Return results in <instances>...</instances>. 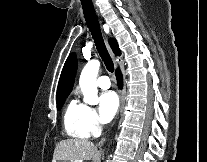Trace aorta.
Returning <instances> with one entry per match:
<instances>
[{"mask_svg": "<svg viewBox=\"0 0 207 162\" xmlns=\"http://www.w3.org/2000/svg\"><path fill=\"white\" fill-rule=\"evenodd\" d=\"M100 62L98 60L89 61L83 68L79 85L84 96V102L89 105L98 103L96 78L99 72Z\"/></svg>", "mask_w": 207, "mask_h": 162, "instance_id": "762f6f07", "label": "aorta"}]
</instances>
